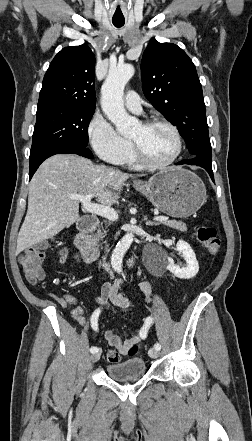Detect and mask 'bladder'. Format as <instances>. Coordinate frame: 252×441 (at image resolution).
<instances>
[{
  "mask_svg": "<svg viewBox=\"0 0 252 441\" xmlns=\"http://www.w3.org/2000/svg\"><path fill=\"white\" fill-rule=\"evenodd\" d=\"M146 364L142 358H132L106 366L107 375L116 381L128 382L139 379L145 374Z\"/></svg>",
  "mask_w": 252,
  "mask_h": 441,
  "instance_id": "obj_1",
  "label": "bladder"
}]
</instances>
